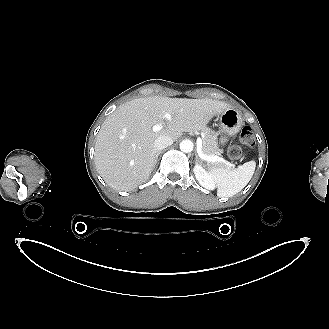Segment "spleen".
I'll use <instances>...</instances> for the list:
<instances>
[{
  "instance_id": "obj_1",
  "label": "spleen",
  "mask_w": 329,
  "mask_h": 329,
  "mask_svg": "<svg viewBox=\"0 0 329 329\" xmlns=\"http://www.w3.org/2000/svg\"><path fill=\"white\" fill-rule=\"evenodd\" d=\"M255 167L256 162L252 160L236 169L210 168V175L217 185V195L219 197H231L240 192L251 180Z\"/></svg>"
}]
</instances>
